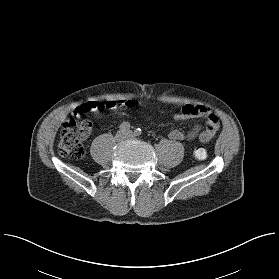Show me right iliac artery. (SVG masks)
<instances>
[{"mask_svg": "<svg viewBox=\"0 0 279 279\" xmlns=\"http://www.w3.org/2000/svg\"><path fill=\"white\" fill-rule=\"evenodd\" d=\"M119 128H120L121 131H128L130 129V123L129 122H123L120 125Z\"/></svg>", "mask_w": 279, "mask_h": 279, "instance_id": "82829eb1", "label": "right iliac artery"}]
</instances>
